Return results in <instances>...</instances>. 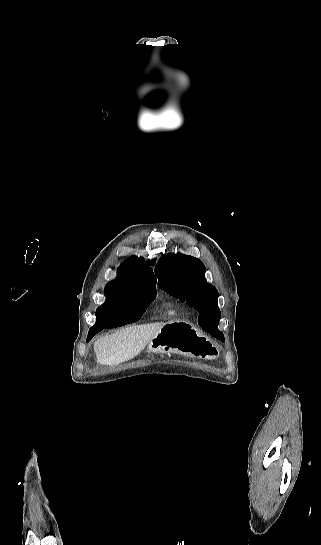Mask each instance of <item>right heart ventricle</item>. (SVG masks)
<instances>
[{
    "instance_id": "right-heart-ventricle-1",
    "label": "right heart ventricle",
    "mask_w": 321,
    "mask_h": 545,
    "mask_svg": "<svg viewBox=\"0 0 321 545\" xmlns=\"http://www.w3.org/2000/svg\"><path fill=\"white\" fill-rule=\"evenodd\" d=\"M169 309H170V311H171L172 313H174V314H178V313H179V310H178L177 308L170 307Z\"/></svg>"
}]
</instances>
